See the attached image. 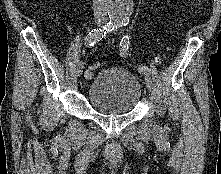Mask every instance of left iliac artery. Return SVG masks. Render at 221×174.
Masks as SVG:
<instances>
[{
  "instance_id": "obj_1",
  "label": "left iliac artery",
  "mask_w": 221,
  "mask_h": 174,
  "mask_svg": "<svg viewBox=\"0 0 221 174\" xmlns=\"http://www.w3.org/2000/svg\"><path fill=\"white\" fill-rule=\"evenodd\" d=\"M127 24H128V20L127 19H123L122 21H116L113 30L118 28V27H120V26H126ZM129 44H130L129 36L128 35H124L122 40H121V43H120V54L122 56H126L128 54ZM138 70L141 73H148L150 71L147 66H140L138 68Z\"/></svg>"
}]
</instances>
